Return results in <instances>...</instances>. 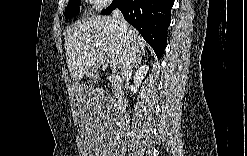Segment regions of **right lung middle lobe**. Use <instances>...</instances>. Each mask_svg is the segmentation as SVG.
<instances>
[{"label":"right lung middle lobe","instance_id":"obj_1","mask_svg":"<svg viewBox=\"0 0 247 156\" xmlns=\"http://www.w3.org/2000/svg\"><path fill=\"white\" fill-rule=\"evenodd\" d=\"M79 5H80V0L69 1L65 10V18L69 19L71 17L76 16L79 13Z\"/></svg>","mask_w":247,"mask_h":156}]
</instances>
